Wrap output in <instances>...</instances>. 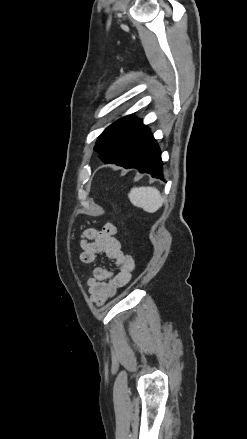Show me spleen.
Masks as SVG:
<instances>
[{
    "label": "spleen",
    "mask_w": 247,
    "mask_h": 439,
    "mask_svg": "<svg viewBox=\"0 0 247 439\" xmlns=\"http://www.w3.org/2000/svg\"><path fill=\"white\" fill-rule=\"evenodd\" d=\"M130 202L145 212L154 213L163 204L164 199L154 187H134L128 194Z\"/></svg>",
    "instance_id": "spleen-1"
}]
</instances>
